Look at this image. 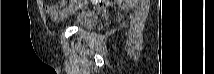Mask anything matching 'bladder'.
<instances>
[{
    "label": "bladder",
    "instance_id": "bladder-1",
    "mask_svg": "<svg viewBox=\"0 0 214 74\" xmlns=\"http://www.w3.org/2000/svg\"><path fill=\"white\" fill-rule=\"evenodd\" d=\"M98 19V15L91 11H83L78 17V26L80 28H88L92 26Z\"/></svg>",
    "mask_w": 214,
    "mask_h": 74
}]
</instances>
